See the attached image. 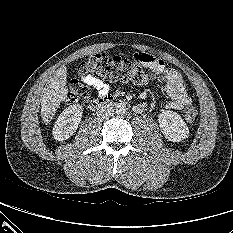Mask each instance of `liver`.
<instances>
[{"label": "liver", "instance_id": "6515ba94", "mask_svg": "<svg viewBox=\"0 0 233 233\" xmlns=\"http://www.w3.org/2000/svg\"><path fill=\"white\" fill-rule=\"evenodd\" d=\"M67 68L60 67L50 80L41 100V117L48 124L54 117L60 103L67 97Z\"/></svg>", "mask_w": 233, "mask_h": 233}]
</instances>
